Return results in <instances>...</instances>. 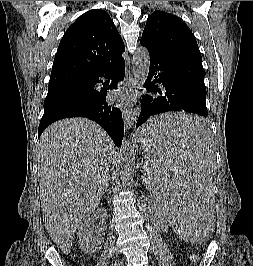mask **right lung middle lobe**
<instances>
[{"mask_svg": "<svg viewBox=\"0 0 253 266\" xmlns=\"http://www.w3.org/2000/svg\"><path fill=\"white\" fill-rule=\"evenodd\" d=\"M89 88L86 81L67 82L48 86V94L44 101L43 117L49 118L70 106Z\"/></svg>", "mask_w": 253, "mask_h": 266, "instance_id": "1", "label": "right lung middle lobe"}]
</instances>
